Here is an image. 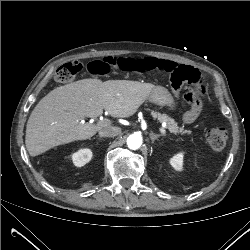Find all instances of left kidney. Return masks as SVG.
Instances as JSON below:
<instances>
[{"instance_id":"5707ae66","label":"left kidney","mask_w":250,"mask_h":250,"mask_svg":"<svg viewBox=\"0 0 250 250\" xmlns=\"http://www.w3.org/2000/svg\"><path fill=\"white\" fill-rule=\"evenodd\" d=\"M170 164L175 170L182 171V169H183V154L179 153V154H176L175 156H173L170 159Z\"/></svg>"}]
</instances>
